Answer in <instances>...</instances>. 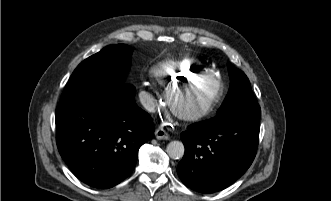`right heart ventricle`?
Segmentation results:
<instances>
[{
  "instance_id": "right-heart-ventricle-1",
  "label": "right heart ventricle",
  "mask_w": 331,
  "mask_h": 201,
  "mask_svg": "<svg viewBox=\"0 0 331 201\" xmlns=\"http://www.w3.org/2000/svg\"><path fill=\"white\" fill-rule=\"evenodd\" d=\"M198 74H211V71L197 59L166 60L152 70L153 78L161 84Z\"/></svg>"
}]
</instances>
